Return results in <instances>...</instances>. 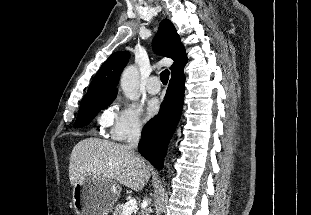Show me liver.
I'll use <instances>...</instances> for the list:
<instances>
[{"instance_id":"liver-1","label":"liver","mask_w":311,"mask_h":215,"mask_svg":"<svg viewBox=\"0 0 311 215\" xmlns=\"http://www.w3.org/2000/svg\"><path fill=\"white\" fill-rule=\"evenodd\" d=\"M150 171L128 145L92 137L74 146L69 162V179L73 186L80 177L89 174L138 192L150 178Z\"/></svg>"}]
</instances>
